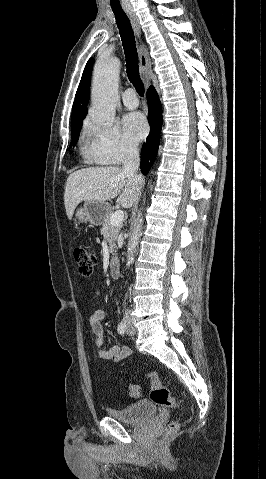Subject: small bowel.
Instances as JSON below:
<instances>
[{"instance_id": "obj_1", "label": "small bowel", "mask_w": 266, "mask_h": 479, "mask_svg": "<svg viewBox=\"0 0 266 479\" xmlns=\"http://www.w3.org/2000/svg\"><path fill=\"white\" fill-rule=\"evenodd\" d=\"M104 312L96 310L90 318V328L95 335V349L99 358L119 362L131 355V350L128 347H120L118 345L106 348L104 345V331L102 320Z\"/></svg>"}]
</instances>
